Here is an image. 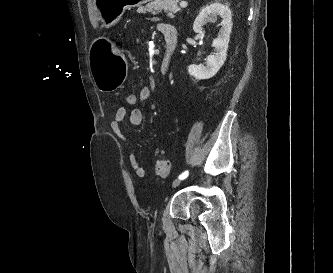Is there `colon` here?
Segmentation results:
<instances>
[{"label":"colon","instance_id":"5ec220e1","mask_svg":"<svg viewBox=\"0 0 333 273\" xmlns=\"http://www.w3.org/2000/svg\"><path fill=\"white\" fill-rule=\"evenodd\" d=\"M138 102V95L130 92L124 96L125 107H134ZM170 171V163L167 160H159L155 164V172L157 176L167 177Z\"/></svg>","mask_w":333,"mask_h":273}]
</instances>
